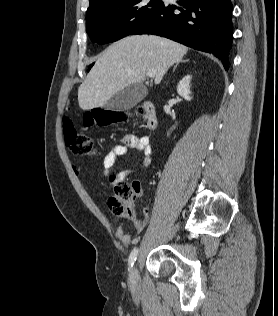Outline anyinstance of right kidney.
<instances>
[{
    "mask_svg": "<svg viewBox=\"0 0 278 316\" xmlns=\"http://www.w3.org/2000/svg\"><path fill=\"white\" fill-rule=\"evenodd\" d=\"M191 76L186 75L183 77L178 85H177V92L180 96H182L185 100L190 101L192 97L190 96L191 91H190V81H191Z\"/></svg>",
    "mask_w": 278,
    "mask_h": 316,
    "instance_id": "1",
    "label": "right kidney"
}]
</instances>
